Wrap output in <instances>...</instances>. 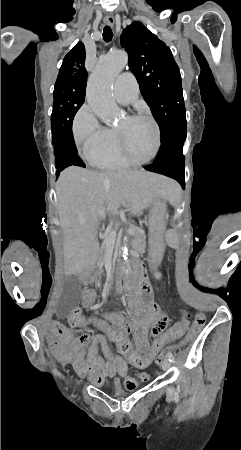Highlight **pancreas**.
<instances>
[{
  "instance_id": "obj_1",
  "label": "pancreas",
  "mask_w": 241,
  "mask_h": 450,
  "mask_svg": "<svg viewBox=\"0 0 241 450\" xmlns=\"http://www.w3.org/2000/svg\"><path fill=\"white\" fill-rule=\"evenodd\" d=\"M132 227H129V228H132ZM139 231H140V228L137 227V230L135 231L136 233L133 234L134 237H137L136 241H134V250H140V251L141 250H147L148 246L145 245L146 244L145 242L147 241V238L145 236H143L142 232H139ZM106 238H107V236H106ZM106 244H107V242H106V240H104V242H103V244L101 246V250H100V254H99V260H98V266H100V268H102L103 264H105L104 256H105V252H106Z\"/></svg>"
}]
</instances>
